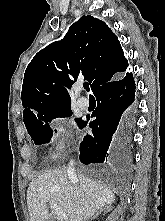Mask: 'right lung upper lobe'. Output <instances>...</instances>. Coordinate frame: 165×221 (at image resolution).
Wrapping results in <instances>:
<instances>
[{"mask_svg":"<svg viewBox=\"0 0 165 221\" xmlns=\"http://www.w3.org/2000/svg\"><path fill=\"white\" fill-rule=\"evenodd\" d=\"M127 67L120 42L105 22L82 16L61 41L39 51L27 66L22 86L24 123L70 107L67 88L79 77L84 76L95 92L121 78Z\"/></svg>","mask_w":165,"mask_h":221,"instance_id":"cb5924a9","label":"right lung upper lobe"}]
</instances>
